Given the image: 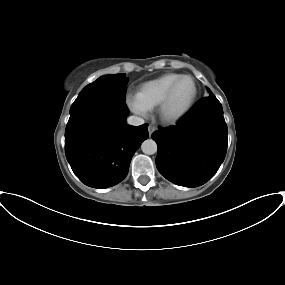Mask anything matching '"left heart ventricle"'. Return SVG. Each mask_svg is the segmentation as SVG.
Segmentation results:
<instances>
[{
  "label": "left heart ventricle",
  "mask_w": 285,
  "mask_h": 285,
  "mask_svg": "<svg viewBox=\"0 0 285 285\" xmlns=\"http://www.w3.org/2000/svg\"><path fill=\"white\" fill-rule=\"evenodd\" d=\"M193 93V82L188 78L181 80L171 98L169 111L171 113H178L183 110L192 99Z\"/></svg>",
  "instance_id": "obj_1"
}]
</instances>
